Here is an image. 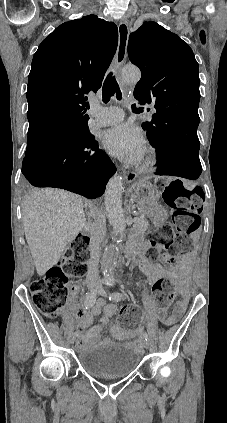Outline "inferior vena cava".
<instances>
[{
	"instance_id": "1",
	"label": "inferior vena cava",
	"mask_w": 227,
	"mask_h": 423,
	"mask_svg": "<svg viewBox=\"0 0 227 423\" xmlns=\"http://www.w3.org/2000/svg\"><path fill=\"white\" fill-rule=\"evenodd\" d=\"M88 223L94 225L90 235V259L88 263L87 281H99V247L104 239V219L101 215H95L94 221L89 219Z\"/></svg>"
}]
</instances>
